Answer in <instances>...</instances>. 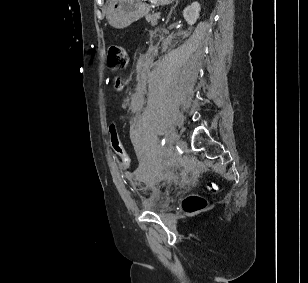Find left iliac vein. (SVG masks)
Masks as SVG:
<instances>
[{
	"mask_svg": "<svg viewBox=\"0 0 308 283\" xmlns=\"http://www.w3.org/2000/svg\"><path fill=\"white\" fill-rule=\"evenodd\" d=\"M176 143H177V146H178V149H179V150L184 151V150L186 149V146H187V145H186V142H185L184 140H182V139H180V138H177ZM175 155L178 156L179 153L176 152Z\"/></svg>",
	"mask_w": 308,
	"mask_h": 283,
	"instance_id": "left-iliac-vein-1",
	"label": "left iliac vein"
}]
</instances>
